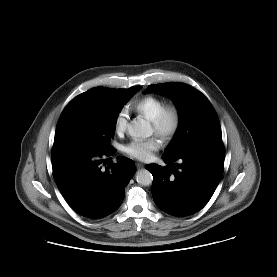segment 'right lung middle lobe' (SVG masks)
<instances>
[{
    "label": "right lung middle lobe",
    "mask_w": 277,
    "mask_h": 277,
    "mask_svg": "<svg viewBox=\"0 0 277 277\" xmlns=\"http://www.w3.org/2000/svg\"><path fill=\"white\" fill-rule=\"evenodd\" d=\"M96 87L72 99L57 123L54 143L77 144L100 151H111L118 114L140 89Z\"/></svg>",
    "instance_id": "1"
}]
</instances>
